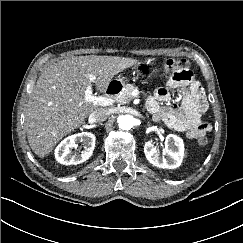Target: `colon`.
<instances>
[{"label":"colon","mask_w":243,"mask_h":243,"mask_svg":"<svg viewBox=\"0 0 243 243\" xmlns=\"http://www.w3.org/2000/svg\"><path fill=\"white\" fill-rule=\"evenodd\" d=\"M189 64L186 59L183 58H170L163 67V76L183 79L189 74ZM209 140L206 136H200L197 140L199 146H206Z\"/></svg>","instance_id":"obj_1"}]
</instances>
